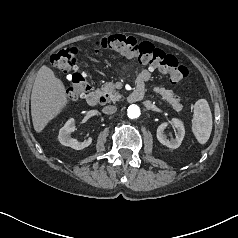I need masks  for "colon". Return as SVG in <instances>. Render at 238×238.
I'll return each instance as SVG.
<instances>
[{
    "mask_svg": "<svg viewBox=\"0 0 238 238\" xmlns=\"http://www.w3.org/2000/svg\"><path fill=\"white\" fill-rule=\"evenodd\" d=\"M99 50H109L127 57L136 58L140 63L167 75L172 83L183 85L188 82L189 71L177 59L149 42H139L132 36L114 34L94 42ZM77 49L67 47L54 53L49 65L54 70L68 74L67 99L76 101L87 96L90 89L86 75L79 70Z\"/></svg>",
    "mask_w": 238,
    "mask_h": 238,
    "instance_id": "5ec220e1",
    "label": "colon"
}]
</instances>
